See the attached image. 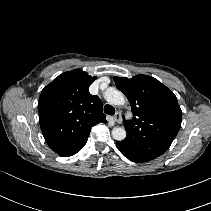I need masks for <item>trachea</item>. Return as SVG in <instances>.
<instances>
[{"label":"trachea","instance_id":"3493384b","mask_svg":"<svg viewBox=\"0 0 211 211\" xmlns=\"http://www.w3.org/2000/svg\"><path fill=\"white\" fill-rule=\"evenodd\" d=\"M104 112L108 115H114L115 114V108L109 104L105 105Z\"/></svg>","mask_w":211,"mask_h":211}]
</instances>
